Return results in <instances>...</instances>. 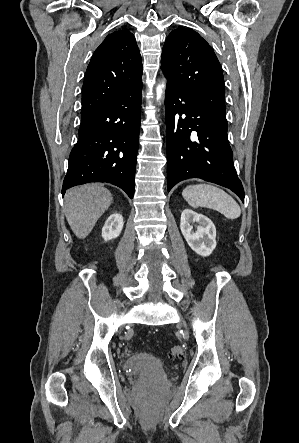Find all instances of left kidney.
<instances>
[{
	"label": "left kidney",
	"mask_w": 299,
	"mask_h": 443,
	"mask_svg": "<svg viewBox=\"0 0 299 443\" xmlns=\"http://www.w3.org/2000/svg\"><path fill=\"white\" fill-rule=\"evenodd\" d=\"M194 223H198L195 232ZM180 229L190 248L198 255L209 256L215 249L216 228L208 217L185 209L181 214Z\"/></svg>",
	"instance_id": "1"
}]
</instances>
